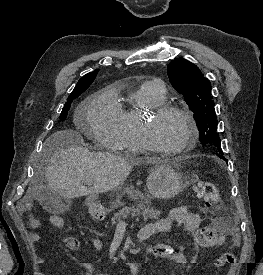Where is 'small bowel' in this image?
<instances>
[{"mask_svg":"<svg viewBox=\"0 0 263 275\" xmlns=\"http://www.w3.org/2000/svg\"><path fill=\"white\" fill-rule=\"evenodd\" d=\"M54 217L55 216L51 218V223L55 227L62 228L64 225L63 219L58 216L60 218V222L56 225L53 222ZM205 219L206 215L204 211H192L185 207H176L171 209L165 217L144 226L139 232V237L141 240H147L156 234L164 236L175 224L181 227L186 233L194 237L196 247L199 245L202 246L198 241V234L201 230L200 225ZM39 225L40 222L38 220H30V226L32 228H38ZM32 239L34 242H38L40 241V235L33 233ZM63 243L69 250L79 251L81 249V243L75 237H65L63 239ZM91 245L96 252H100L103 249V242L98 238L92 239ZM148 252L157 258L168 259L172 261L176 265L177 269L171 275H179L188 263H194L196 261L195 254L190 256L186 255L184 245H181L178 248H173L169 244L158 243L150 246L148 248ZM37 262L43 263V258L38 256ZM80 265L83 267V270L79 273V275H110L108 273L100 272L90 262H81ZM131 273L137 274V269L131 268ZM38 275L44 274L38 273Z\"/></svg>","mask_w":263,"mask_h":275,"instance_id":"obj_1","label":"small bowel"}]
</instances>
